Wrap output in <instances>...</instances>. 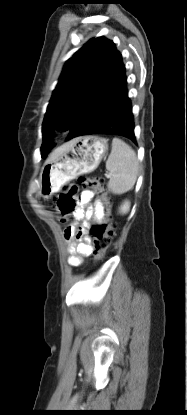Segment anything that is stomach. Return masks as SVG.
<instances>
[{
  "instance_id": "0dacf381",
  "label": "stomach",
  "mask_w": 187,
  "mask_h": 415,
  "mask_svg": "<svg viewBox=\"0 0 187 415\" xmlns=\"http://www.w3.org/2000/svg\"><path fill=\"white\" fill-rule=\"evenodd\" d=\"M70 143L67 150L42 168L39 194L43 198H49L77 176L95 170L108 150L107 139L92 135Z\"/></svg>"
}]
</instances>
